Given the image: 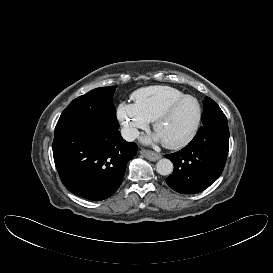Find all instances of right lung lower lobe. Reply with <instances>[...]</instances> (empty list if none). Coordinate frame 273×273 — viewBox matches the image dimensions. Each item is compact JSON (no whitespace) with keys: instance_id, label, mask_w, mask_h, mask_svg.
I'll list each match as a JSON object with an SVG mask.
<instances>
[{"instance_id":"right-lung-lower-lobe-1","label":"right lung lower lobe","mask_w":273,"mask_h":273,"mask_svg":"<svg viewBox=\"0 0 273 273\" xmlns=\"http://www.w3.org/2000/svg\"><path fill=\"white\" fill-rule=\"evenodd\" d=\"M52 149L65 187L77 196L103 200L120 186L137 145L126 142L118 129L84 124L55 131Z\"/></svg>"}]
</instances>
